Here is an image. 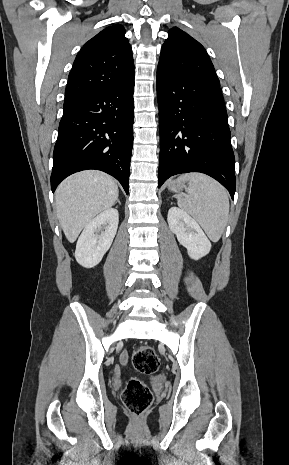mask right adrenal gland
Instances as JSON below:
<instances>
[{"label": "right adrenal gland", "mask_w": 289, "mask_h": 465, "mask_svg": "<svg viewBox=\"0 0 289 465\" xmlns=\"http://www.w3.org/2000/svg\"><path fill=\"white\" fill-rule=\"evenodd\" d=\"M116 202H117L119 205H121V202H120V200H119V199H117V201H116Z\"/></svg>", "instance_id": "2a0ac1e0"}]
</instances>
